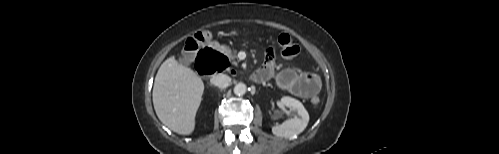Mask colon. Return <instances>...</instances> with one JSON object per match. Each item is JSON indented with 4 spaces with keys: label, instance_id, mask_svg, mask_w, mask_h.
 Masks as SVG:
<instances>
[{
    "label": "colon",
    "instance_id": "1",
    "mask_svg": "<svg viewBox=\"0 0 499 154\" xmlns=\"http://www.w3.org/2000/svg\"><path fill=\"white\" fill-rule=\"evenodd\" d=\"M211 35L208 31H202L195 34L193 37L189 38L187 41V46L189 49H196L200 44L209 41ZM277 44L280 48L281 54L287 59L296 58L300 52L298 44L291 38L288 34H281L277 39ZM228 67V61L220 53L215 52V69L216 71H223ZM313 106L318 107L321 104V99L318 96H314L311 99Z\"/></svg>",
    "mask_w": 499,
    "mask_h": 154
}]
</instances>
